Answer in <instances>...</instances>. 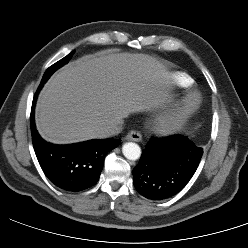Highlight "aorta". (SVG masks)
<instances>
[{
  "label": "aorta",
  "instance_id": "1",
  "mask_svg": "<svg viewBox=\"0 0 248 248\" xmlns=\"http://www.w3.org/2000/svg\"><path fill=\"white\" fill-rule=\"evenodd\" d=\"M123 155L129 160H137L141 156V148L133 142L125 143L122 147Z\"/></svg>",
  "mask_w": 248,
  "mask_h": 248
}]
</instances>
